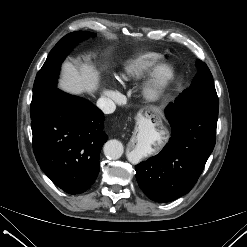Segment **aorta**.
Instances as JSON below:
<instances>
[{
  "label": "aorta",
  "instance_id": "obj_1",
  "mask_svg": "<svg viewBox=\"0 0 247 247\" xmlns=\"http://www.w3.org/2000/svg\"><path fill=\"white\" fill-rule=\"evenodd\" d=\"M103 151L108 159H119L124 151L123 145L118 140H109L104 144Z\"/></svg>",
  "mask_w": 247,
  "mask_h": 247
}]
</instances>
